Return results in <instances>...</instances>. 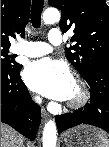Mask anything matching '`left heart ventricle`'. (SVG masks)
<instances>
[{
  "label": "left heart ventricle",
  "instance_id": "b2bd125f",
  "mask_svg": "<svg viewBox=\"0 0 109 147\" xmlns=\"http://www.w3.org/2000/svg\"><path fill=\"white\" fill-rule=\"evenodd\" d=\"M79 87L77 86V84L74 82L73 83V86H72V90H71V93H70V96H69V100H74V99H77L78 96H79Z\"/></svg>",
  "mask_w": 109,
  "mask_h": 147
}]
</instances>
